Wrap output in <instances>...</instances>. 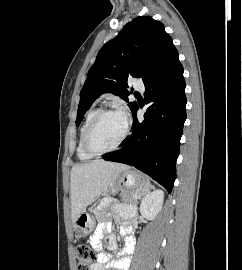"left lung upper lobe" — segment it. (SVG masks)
<instances>
[{
	"mask_svg": "<svg viewBox=\"0 0 242 270\" xmlns=\"http://www.w3.org/2000/svg\"><path fill=\"white\" fill-rule=\"evenodd\" d=\"M179 56L164 25L150 16L127 23L121 32L98 52L80 92L76 125L96 98L112 92L127 101L128 78L146 82L159 69ZM132 113L136 102L128 104Z\"/></svg>",
	"mask_w": 242,
	"mask_h": 270,
	"instance_id": "1",
	"label": "left lung upper lobe"
}]
</instances>
